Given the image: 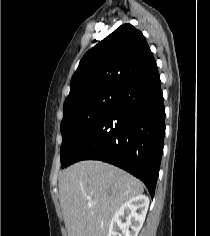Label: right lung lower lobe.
Instances as JSON below:
<instances>
[{
  "label": "right lung lower lobe",
  "instance_id": "right-lung-lower-lobe-1",
  "mask_svg": "<svg viewBox=\"0 0 210 236\" xmlns=\"http://www.w3.org/2000/svg\"><path fill=\"white\" fill-rule=\"evenodd\" d=\"M165 108L158 69L132 81L91 130L65 167L86 159L116 165L141 179L154 196L163 153Z\"/></svg>",
  "mask_w": 210,
  "mask_h": 236
}]
</instances>
